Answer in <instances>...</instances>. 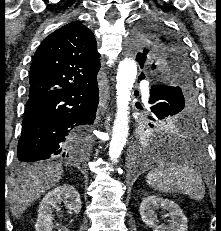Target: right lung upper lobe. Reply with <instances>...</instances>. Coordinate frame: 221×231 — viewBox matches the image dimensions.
Segmentation results:
<instances>
[{"label":"right lung upper lobe","instance_id":"right-lung-upper-lobe-1","mask_svg":"<svg viewBox=\"0 0 221 231\" xmlns=\"http://www.w3.org/2000/svg\"><path fill=\"white\" fill-rule=\"evenodd\" d=\"M96 39L80 22H71L47 36L37 49L29 75V97L67 87H85L100 68Z\"/></svg>","mask_w":221,"mask_h":231}]
</instances>
